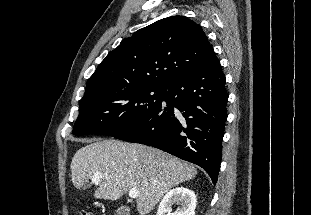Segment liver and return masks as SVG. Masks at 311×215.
<instances>
[{
    "mask_svg": "<svg viewBox=\"0 0 311 215\" xmlns=\"http://www.w3.org/2000/svg\"><path fill=\"white\" fill-rule=\"evenodd\" d=\"M72 158L71 180L77 189L92 180L96 199L116 201L130 189H137V210L149 214L162 196L178 184L194 178V166L161 150L115 139L89 141ZM103 177L93 181L95 173Z\"/></svg>",
    "mask_w": 311,
    "mask_h": 215,
    "instance_id": "6515ba94",
    "label": "liver"
}]
</instances>
